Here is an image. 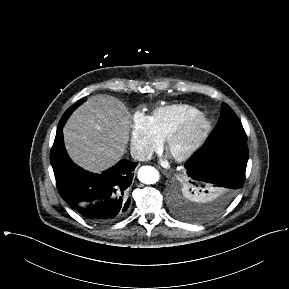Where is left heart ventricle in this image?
Returning a JSON list of instances; mask_svg holds the SVG:
<instances>
[{
  "mask_svg": "<svg viewBox=\"0 0 289 289\" xmlns=\"http://www.w3.org/2000/svg\"><path fill=\"white\" fill-rule=\"evenodd\" d=\"M196 130H197V128L194 130V132H196ZM194 132H193V133H194ZM183 146H184V144H179V145L176 147L175 151H179Z\"/></svg>",
  "mask_w": 289,
  "mask_h": 289,
  "instance_id": "1",
  "label": "left heart ventricle"
}]
</instances>
